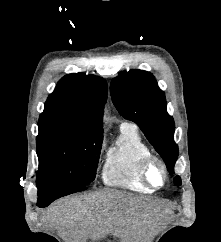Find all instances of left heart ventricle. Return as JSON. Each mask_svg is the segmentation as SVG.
Listing matches in <instances>:
<instances>
[{
  "mask_svg": "<svg viewBox=\"0 0 221 242\" xmlns=\"http://www.w3.org/2000/svg\"><path fill=\"white\" fill-rule=\"evenodd\" d=\"M150 178H151V181L159 186L162 184V181H163V175H162V172L160 170V168L158 166H153L151 169H150Z\"/></svg>",
  "mask_w": 221,
  "mask_h": 242,
  "instance_id": "b2bd125f",
  "label": "left heart ventricle"
}]
</instances>
